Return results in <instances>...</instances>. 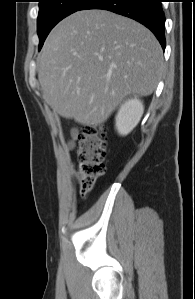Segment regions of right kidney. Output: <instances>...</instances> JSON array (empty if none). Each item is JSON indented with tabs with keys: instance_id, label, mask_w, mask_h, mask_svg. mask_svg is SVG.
Masks as SVG:
<instances>
[{
	"instance_id": "obj_1",
	"label": "right kidney",
	"mask_w": 195,
	"mask_h": 299,
	"mask_svg": "<svg viewBox=\"0 0 195 299\" xmlns=\"http://www.w3.org/2000/svg\"><path fill=\"white\" fill-rule=\"evenodd\" d=\"M144 112L140 99L134 97L125 101L119 108L115 118V127L120 135L129 134L139 123Z\"/></svg>"
}]
</instances>
